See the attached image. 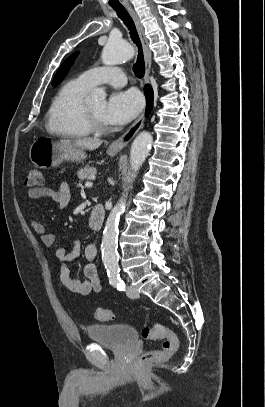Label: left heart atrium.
<instances>
[{"label": "left heart atrium", "mask_w": 265, "mask_h": 407, "mask_svg": "<svg viewBox=\"0 0 265 407\" xmlns=\"http://www.w3.org/2000/svg\"><path fill=\"white\" fill-rule=\"evenodd\" d=\"M142 98L134 90L114 92L104 109V119L109 125H123L131 121L141 110Z\"/></svg>", "instance_id": "1"}]
</instances>
